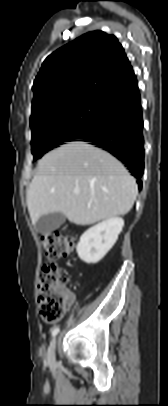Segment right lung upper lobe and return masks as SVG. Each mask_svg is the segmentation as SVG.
<instances>
[{"label": "right lung upper lobe", "mask_w": 168, "mask_h": 406, "mask_svg": "<svg viewBox=\"0 0 168 406\" xmlns=\"http://www.w3.org/2000/svg\"><path fill=\"white\" fill-rule=\"evenodd\" d=\"M137 81L122 45L86 33L49 55L34 80L30 123L77 102L105 99Z\"/></svg>", "instance_id": "cb5924a9"}]
</instances>
